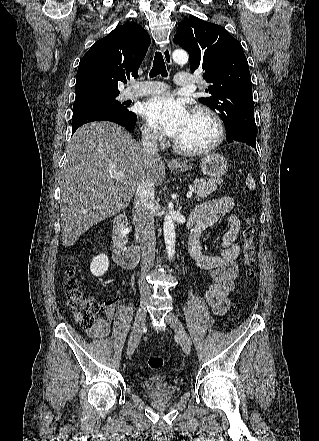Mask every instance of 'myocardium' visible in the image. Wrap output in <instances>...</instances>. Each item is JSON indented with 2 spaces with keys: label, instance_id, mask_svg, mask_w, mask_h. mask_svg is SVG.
<instances>
[{
  "label": "myocardium",
  "instance_id": "1",
  "mask_svg": "<svg viewBox=\"0 0 319 441\" xmlns=\"http://www.w3.org/2000/svg\"><path fill=\"white\" fill-rule=\"evenodd\" d=\"M192 114H203L207 116L215 127V137L207 145L196 148H188L178 144L175 140L172 145L175 151L184 155H203L215 150L224 140L225 137V127L220 116L211 108L203 105L194 106L191 110Z\"/></svg>",
  "mask_w": 319,
  "mask_h": 441
}]
</instances>
